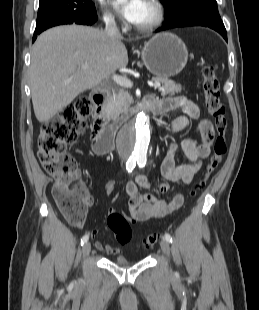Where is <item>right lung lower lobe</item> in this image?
<instances>
[{
  "mask_svg": "<svg viewBox=\"0 0 259 310\" xmlns=\"http://www.w3.org/2000/svg\"><path fill=\"white\" fill-rule=\"evenodd\" d=\"M96 20H97L96 12L94 14H91L88 18H85V19H82V20L54 19V20L48 22L43 27L35 30L34 35H33V42L37 38L38 34H40L41 32H43L44 30H46V29H48L50 27L57 26V25H62V24H72V23H76V24H90L91 25Z\"/></svg>",
  "mask_w": 259,
  "mask_h": 310,
  "instance_id": "obj_1",
  "label": "right lung lower lobe"
}]
</instances>
